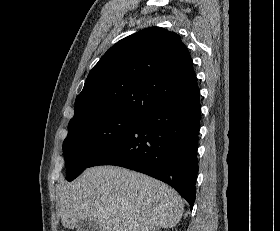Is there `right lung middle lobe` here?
Here are the masks:
<instances>
[{
  "instance_id": "dd1d6c3e",
  "label": "right lung middle lobe",
  "mask_w": 280,
  "mask_h": 231,
  "mask_svg": "<svg viewBox=\"0 0 280 231\" xmlns=\"http://www.w3.org/2000/svg\"><path fill=\"white\" fill-rule=\"evenodd\" d=\"M141 117L109 116L70 120L63 142L66 179L74 180L113 144L139 124Z\"/></svg>"
}]
</instances>
